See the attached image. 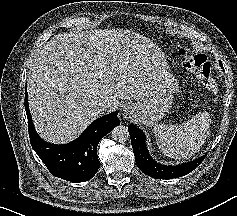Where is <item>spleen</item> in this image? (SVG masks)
Returning <instances> with one entry per match:
<instances>
[{
    "label": "spleen",
    "instance_id": "spleen-1",
    "mask_svg": "<svg viewBox=\"0 0 237 216\" xmlns=\"http://www.w3.org/2000/svg\"><path fill=\"white\" fill-rule=\"evenodd\" d=\"M207 113L198 114L179 125L155 124L153 130L159 149L174 159H188L204 145L210 128Z\"/></svg>",
    "mask_w": 237,
    "mask_h": 216
}]
</instances>
